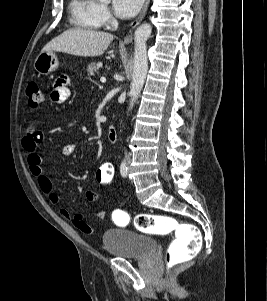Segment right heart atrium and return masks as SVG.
<instances>
[{
  "label": "right heart atrium",
  "mask_w": 267,
  "mask_h": 301,
  "mask_svg": "<svg viewBox=\"0 0 267 301\" xmlns=\"http://www.w3.org/2000/svg\"><path fill=\"white\" fill-rule=\"evenodd\" d=\"M98 17L102 25H108L111 22V14L106 5L98 4Z\"/></svg>",
  "instance_id": "obj_1"
}]
</instances>
